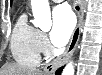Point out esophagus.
<instances>
[{
	"instance_id": "obj_1",
	"label": "esophagus",
	"mask_w": 102,
	"mask_h": 75,
	"mask_svg": "<svg viewBox=\"0 0 102 75\" xmlns=\"http://www.w3.org/2000/svg\"><path fill=\"white\" fill-rule=\"evenodd\" d=\"M73 8L77 14L78 22L75 30L73 31V34L71 36L70 42L68 44L67 49L64 51V53L53 60L51 63H49L45 68L44 71L49 74H53L58 67L63 65L69 57L73 54V52L76 49L80 32H81V27L83 23V9H84V0H76L74 2Z\"/></svg>"
}]
</instances>
